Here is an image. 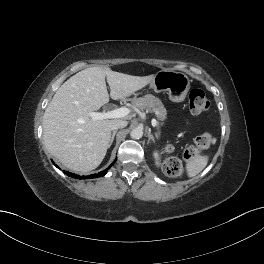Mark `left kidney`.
<instances>
[{"mask_svg": "<svg viewBox=\"0 0 264 264\" xmlns=\"http://www.w3.org/2000/svg\"><path fill=\"white\" fill-rule=\"evenodd\" d=\"M153 156H154V158H155V163H156V165H161V162H160V154L157 152V151H155L154 153H153Z\"/></svg>", "mask_w": 264, "mask_h": 264, "instance_id": "obj_1", "label": "left kidney"}]
</instances>
